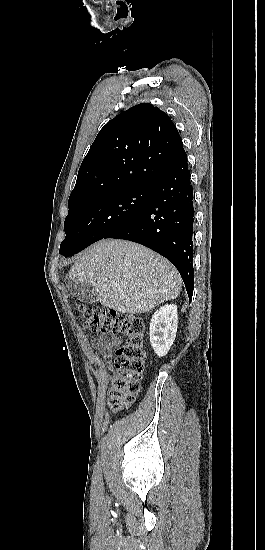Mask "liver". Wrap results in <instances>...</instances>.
<instances>
[{"label": "liver", "instance_id": "obj_1", "mask_svg": "<svg viewBox=\"0 0 265 550\" xmlns=\"http://www.w3.org/2000/svg\"><path fill=\"white\" fill-rule=\"evenodd\" d=\"M69 279L87 283L104 307L122 314L147 313L178 297L182 280L164 257L131 241L104 239L82 251Z\"/></svg>", "mask_w": 265, "mask_h": 550}]
</instances>
